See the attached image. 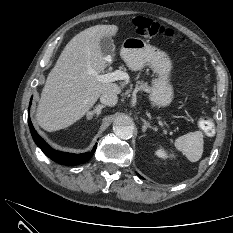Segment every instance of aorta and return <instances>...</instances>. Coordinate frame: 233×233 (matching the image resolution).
I'll return each mask as SVG.
<instances>
[{"label":"aorta","mask_w":233,"mask_h":233,"mask_svg":"<svg viewBox=\"0 0 233 233\" xmlns=\"http://www.w3.org/2000/svg\"><path fill=\"white\" fill-rule=\"evenodd\" d=\"M113 131L120 139H130L134 131L132 119L127 115L117 116L114 120Z\"/></svg>","instance_id":"obj_1"}]
</instances>
